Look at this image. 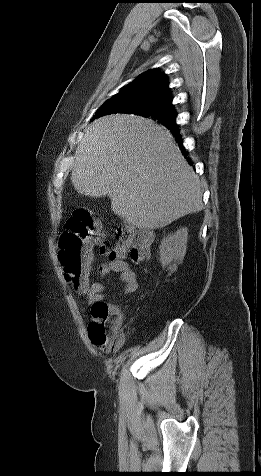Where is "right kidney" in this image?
<instances>
[{
    "label": "right kidney",
    "instance_id": "ca27d5eb",
    "mask_svg": "<svg viewBox=\"0 0 261 476\" xmlns=\"http://www.w3.org/2000/svg\"><path fill=\"white\" fill-rule=\"evenodd\" d=\"M187 239V228H180L174 234H170L162 240L159 246L162 266H168L171 272L176 270L177 263L181 262L186 254Z\"/></svg>",
    "mask_w": 261,
    "mask_h": 476
}]
</instances>
